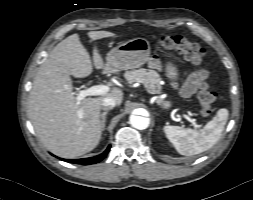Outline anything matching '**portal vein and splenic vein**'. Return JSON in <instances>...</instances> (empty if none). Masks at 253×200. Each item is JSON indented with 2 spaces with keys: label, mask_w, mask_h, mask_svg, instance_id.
I'll return each mask as SVG.
<instances>
[{
  "label": "portal vein and splenic vein",
  "mask_w": 253,
  "mask_h": 200,
  "mask_svg": "<svg viewBox=\"0 0 253 200\" xmlns=\"http://www.w3.org/2000/svg\"><path fill=\"white\" fill-rule=\"evenodd\" d=\"M110 91V87L107 85H93L87 89L79 90L77 89V97L76 102L80 103L81 100H83L87 96H97V95H103ZM183 117L188 120L194 127H199L200 125L197 124L196 120L193 118H190L187 115H183Z\"/></svg>",
  "instance_id": "18ae733b"
}]
</instances>
